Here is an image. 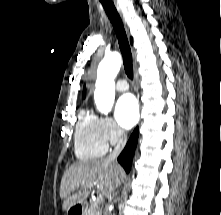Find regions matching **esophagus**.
<instances>
[{
    "instance_id": "obj_1",
    "label": "esophagus",
    "mask_w": 221,
    "mask_h": 215,
    "mask_svg": "<svg viewBox=\"0 0 221 215\" xmlns=\"http://www.w3.org/2000/svg\"><path fill=\"white\" fill-rule=\"evenodd\" d=\"M113 1H114V4H115V6H116L117 11H118L119 14L122 16V12H121V8H120L119 4L117 3L116 0H113Z\"/></svg>"
}]
</instances>
